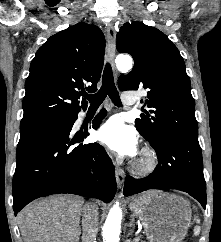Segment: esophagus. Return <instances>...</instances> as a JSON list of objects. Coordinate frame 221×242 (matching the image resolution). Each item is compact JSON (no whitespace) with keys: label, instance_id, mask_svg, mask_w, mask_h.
<instances>
[{"label":"esophagus","instance_id":"esophagus-1","mask_svg":"<svg viewBox=\"0 0 221 242\" xmlns=\"http://www.w3.org/2000/svg\"><path fill=\"white\" fill-rule=\"evenodd\" d=\"M106 33H107V40H108L109 61L114 68L115 76H117L118 72L115 69V64H114L116 32H115L114 25L112 23H109L107 25ZM115 176H116L117 186L121 189L124 184L125 173H124V170L120 166L115 167Z\"/></svg>","mask_w":221,"mask_h":242}]
</instances>
